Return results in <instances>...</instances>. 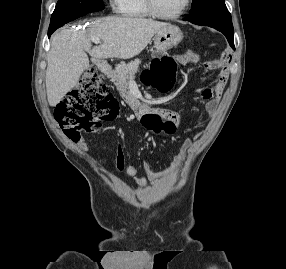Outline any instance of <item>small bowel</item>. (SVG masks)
Returning a JSON list of instances; mask_svg holds the SVG:
<instances>
[{
    "label": "small bowel",
    "instance_id": "c3829d8e",
    "mask_svg": "<svg viewBox=\"0 0 286 269\" xmlns=\"http://www.w3.org/2000/svg\"><path fill=\"white\" fill-rule=\"evenodd\" d=\"M201 58V55L193 50H188L184 53L175 56V60L177 61V63L182 66L196 64L201 60ZM204 67L208 70L218 71V77L214 83L213 89L209 88L202 92V97L206 101L207 114L209 118H213L216 115L218 102L220 100L222 91L229 76V61L226 56H224L220 60L205 62ZM131 91V88L120 89L121 93H131ZM123 98L133 99L134 95L124 94ZM132 105L136 106L137 102L133 101ZM159 113L161 116L164 117L163 121L172 122L171 126L173 130V124L178 121V116L174 112L169 111L167 108H139L138 111H133V116H135V120H143L144 116H158ZM81 146L86 147L87 145L84 141H82ZM190 146L191 141L187 139L184 142L182 151L173 158V165H180L185 161ZM115 167L118 171L125 170L126 173L130 177H132L141 187H144L146 185V181H149L151 183H159L168 176L167 172H156L148 167L145 168L144 174L140 175L139 169L134 163H125L124 147L120 144L116 147Z\"/></svg>",
    "mask_w": 286,
    "mask_h": 269
}]
</instances>
